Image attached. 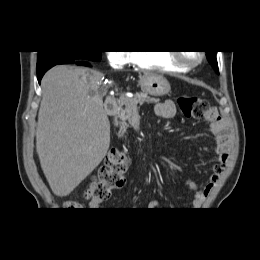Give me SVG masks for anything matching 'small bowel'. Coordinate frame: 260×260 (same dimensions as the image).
Wrapping results in <instances>:
<instances>
[{
    "label": "small bowel",
    "instance_id": "1",
    "mask_svg": "<svg viewBox=\"0 0 260 260\" xmlns=\"http://www.w3.org/2000/svg\"><path fill=\"white\" fill-rule=\"evenodd\" d=\"M155 114L162 118H171L176 113V107L173 101L165 100L155 105ZM210 124L211 130L216 138V153L217 163L212 168V173L207 181L200 185L193 180H187L186 186L193 192L192 208H199L206 200L207 196L220 179V176L228 162L230 152V141L228 127L223 119L218 115H207L204 117ZM104 200L92 199L89 203L91 210H99ZM159 207V202L153 200L146 204L148 209H156Z\"/></svg>",
    "mask_w": 260,
    "mask_h": 260
}]
</instances>
